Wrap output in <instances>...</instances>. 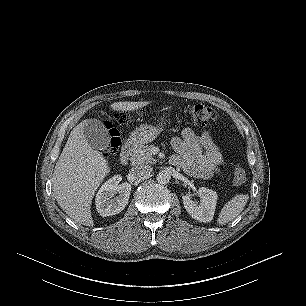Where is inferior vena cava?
<instances>
[{"label": "inferior vena cava", "instance_id": "1", "mask_svg": "<svg viewBox=\"0 0 306 306\" xmlns=\"http://www.w3.org/2000/svg\"><path fill=\"white\" fill-rule=\"evenodd\" d=\"M152 167L149 165H137L131 169V173L136 178H141L150 175Z\"/></svg>", "mask_w": 306, "mask_h": 306}]
</instances>
